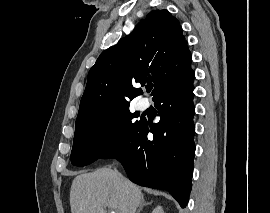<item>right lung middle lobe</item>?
<instances>
[{
    "instance_id": "right-lung-middle-lobe-1",
    "label": "right lung middle lobe",
    "mask_w": 270,
    "mask_h": 213,
    "mask_svg": "<svg viewBox=\"0 0 270 213\" xmlns=\"http://www.w3.org/2000/svg\"><path fill=\"white\" fill-rule=\"evenodd\" d=\"M134 117L125 105L76 122L72 164L85 166L103 158L138 127L141 120Z\"/></svg>"
}]
</instances>
